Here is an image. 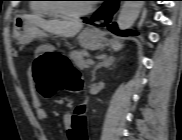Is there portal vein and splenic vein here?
<instances>
[{
  "label": "portal vein and splenic vein",
  "instance_id": "portal-vein-and-splenic-vein-1",
  "mask_svg": "<svg viewBox=\"0 0 182 140\" xmlns=\"http://www.w3.org/2000/svg\"><path fill=\"white\" fill-rule=\"evenodd\" d=\"M87 63L90 64V65H92V64H94V61L92 59H88L87 60Z\"/></svg>",
  "mask_w": 182,
  "mask_h": 140
}]
</instances>
